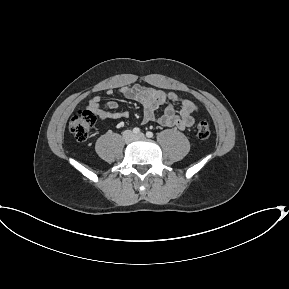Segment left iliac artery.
Wrapping results in <instances>:
<instances>
[{"label": "left iliac artery", "instance_id": "left-iliac-artery-1", "mask_svg": "<svg viewBox=\"0 0 289 289\" xmlns=\"http://www.w3.org/2000/svg\"><path fill=\"white\" fill-rule=\"evenodd\" d=\"M146 136H147L148 138H152V137H153V133H152L151 131H147V132H146Z\"/></svg>", "mask_w": 289, "mask_h": 289}]
</instances>
